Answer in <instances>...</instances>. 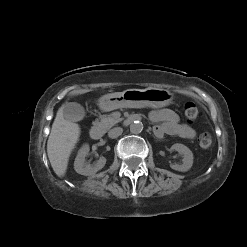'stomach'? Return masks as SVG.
<instances>
[{"mask_svg": "<svg viewBox=\"0 0 247 247\" xmlns=\"http://www.w3.org/2000/svg\"><path fill=\"white\" fill-rule=\"evenodd\" d=\"M173 99V93L166 89H128L123 92H115L102 96L99 100V107L103 111H111L124 107L160 108L171 104Z\"/></svg>", "mask_w": 247, "mask_h": 247, "instance_id": "stomach-1", "label": "stomach"}]
</instances>
